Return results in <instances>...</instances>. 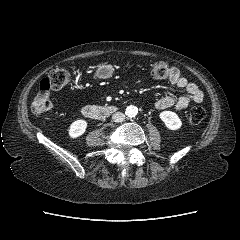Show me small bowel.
I'll use <instances>...</instances> for the list:
<instances>
[{
	"mask_svg": "<svg viewBox=\"0 0 240 240\" xmlns=\"http://www.w3.org/2000/svg\"><path fill=\"white\" fill-rule=\"evenodd\" d=\"M168 80L172 85L182 89L184 94L181 96L171 94L158 99L155 103L157 110L174 108L176 111H180L203 101V93L199 87L195 83L189 82L177 68H170Z\"/></svg>",
	"mask_w": 240,
	"mask_h": 240,
	"instance_id": "c3829d8e",
	"label": "small bowel"
}]
</instances>
